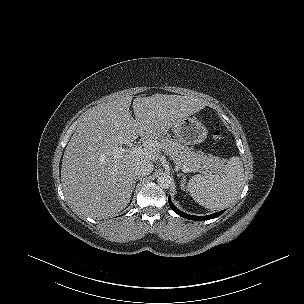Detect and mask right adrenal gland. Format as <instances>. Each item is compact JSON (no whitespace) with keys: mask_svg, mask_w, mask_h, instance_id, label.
<instances>
[{"mask_svg":"<svg viewBox=\"0 0 304 304\" xmlns=\"http://www.w3.org/2000/svg\"><path fill=\"white\" fill-rule=\"evenodd\" d=\"M137 180H138V179L135 178L134 181H133V187H134V188H135V185H136Z\"/></svg>","mask_w":304,"mask_h":304,"instance_id":"1","label":"right adrenal gland"}]
</instances>
